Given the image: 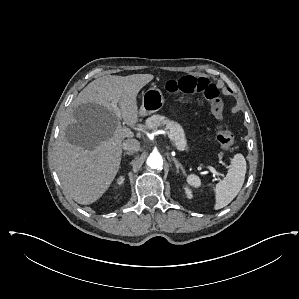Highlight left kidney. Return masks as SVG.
I'll return each instance as SVG.
<instances>
[{"label": "left kidney", "instance_id": "obj_1", "mask_svg": "<svg viewBox=\"0 0 299 299\" xmlns=\"http://www.w3.org/2000/svg\"><path fill=\"white\" fill-rule=\"evenodd\" d=\"M185 193L189 199L193 197L191 190L188 187H185Z\"/></svg>", "mask_w": 299, "mask_h": 299}]
</instances>
